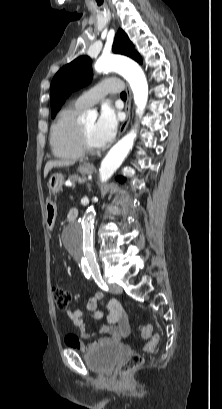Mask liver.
<instances>
[{
    "instance_id": "obj_1",
    "label": "liver",
    "mask_w": 222,
    "mask_h": 409,
    "mask_svg": "<svg viewBox=\"0 0 222 409\" xmlns=\"http://www.w3.org/2000/svg\"><path fill=\"white\" fill-rule=\"evenodd\" d=\"M74 162L73 161H68V160H51L48 161L45 165L44 168V177H46L49 173V171L53 168V167H62V166H70L73 165Z\"/></svg>"
}]
</instances>
